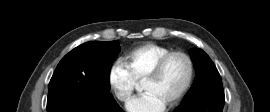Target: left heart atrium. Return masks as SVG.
Wrapping results in <instances>:
<instances>
[{
    "label": "left heart atrium",
    "instance_id": "obj_1",
    "mask_svg": "<svg viewBox=\"0 0 270 112\" xmlns=\"http://www.w3.org/2000/svg\"><path fill=\"white\" fill-rule=\"evenodd\" d=\"M126 108L128 112H163L166 103L156 94L146 92L141 96L131 99Z\"/></svg>",
    "mask_w": 270,
    "mask_h": 112
}]
</instances>
